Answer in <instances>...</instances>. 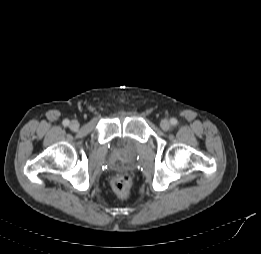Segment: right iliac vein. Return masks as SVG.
I'll use <instances>...</instances> for the list:
<instances>
[{"mask_svg":"<svg viewBox=\"0 0 261 254\" xmlns=\"http://www.w3.org/2000/svg\"><path fill=\"white\" fill-rule=\"evenodd\" d=\"M70 128L72 130H77L79 128V122L77 120H73L70 123Z\"/></svg>","mask_w":261,"mask_h":254,"instance_id":"right-iliac-vein-1","label":"right iliac vein"}]
</instances>
